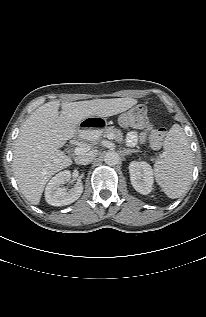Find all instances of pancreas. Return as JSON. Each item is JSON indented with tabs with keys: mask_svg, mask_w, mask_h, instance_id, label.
<instances>
[{
	"mask_svg": "<svg viewBox=\"0 0 206 317\" xmlns=\"http://www.w3.org/2000/svg\"><path fill=\"white\" fill-rule=\"evenodd\" d=\"M110 134H112L114 136L115 141H117L118 143H121L124 141L123 140V133L119 129H117L113 126L107 127L100 132V136H104V137H107ZM100 136L97 139H99Z\"/></svg>",
	"mask_w": 206,
	"mask_h": 317,
	"instance_id": "cf45deb5",
	"label": "pancreas"
}]
</instances>
